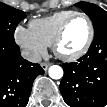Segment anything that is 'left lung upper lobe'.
Instances as JSON below:
<instances>
[{
	"label": "left lung upper lobe",
	"instance_id": "obj_1",
	"mask_svg": "<svg viewBox=\"0 0 107 107\" xmlns=\"http://www.w3.org/2000/svg\"><path fill=\"white\" fill-rule=\"evenodd\" d=\"M75 6L83 9L92 20L94 26V35L107 29V11L95 4L87 2H79L75 4Z\"/></svg>",
	"mask_w": 107,
	"mask_h": 107
}]
</instances>
